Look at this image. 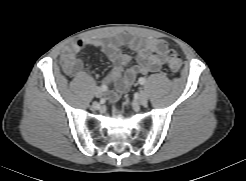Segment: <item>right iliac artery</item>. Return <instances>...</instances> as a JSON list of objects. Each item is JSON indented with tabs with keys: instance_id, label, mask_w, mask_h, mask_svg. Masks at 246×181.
Returning a JSON list of instances; mask_svg holds the SVG:
<instances>
[{
	"instance_id": "82829eb1",
	"label": "right iliac artery",
	"mask_w": 246,
	"mask_h": 181,
	"mask_svg": "<svg viewBox=\"0 0 246 181\" xmlns=\"http://www.w3.org/2000/svg\"><path fill=\"white\" fill-rule=\"evenodd\" d=\"M100 89L104 92V91L107 90V86H106V85H102V86L100 87Z\"/></svg>"
}]
</instances>
